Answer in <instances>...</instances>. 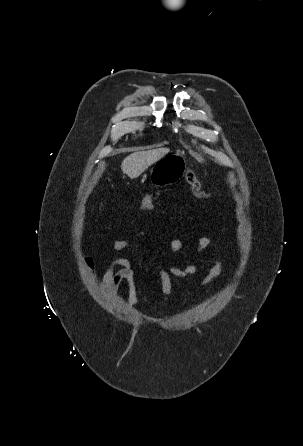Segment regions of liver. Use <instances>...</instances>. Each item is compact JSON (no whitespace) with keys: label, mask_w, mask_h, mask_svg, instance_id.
Segmentation results:
<instances>
[{"label":"liver","mask_w":303,"mask_h":446,"mask_svg":"<svg viewBox=\"0 0 303 446\" xmlns=\"http://www.w3.org/2000/svg\"><path fill=\"white\" fill-rule=\"evenodd\" d=\"M168 152L169 149L136 151L123 160L121 169L131 179L137 178L150 165L160 160Z\"/></svg>","instance_id":"obj_1"}]
</instances>
